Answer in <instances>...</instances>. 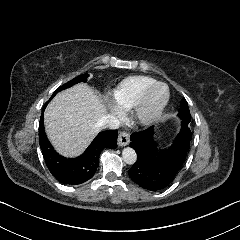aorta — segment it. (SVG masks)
<instances>
[{
  "label": "aorta",
  "mask_w": 240,
  "mask_h": 240,
  "mask_svg": "<svg viewBox=\"0 0 240 240\" xmlns=\"http://www.w3.org/2000/svg\"><path fill=\"white\" fill-rule=\"evenodd\" d=\"M122 158L127 164H133L137 159V155L135 150L132 147L128 146L122 149Z\"/></svg>",
  "instance_id": "762f6f07"
}]
</instances>
